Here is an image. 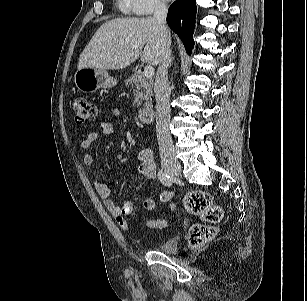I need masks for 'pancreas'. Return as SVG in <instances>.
<instances>
[{"mask_svg": "<svg viewBox=\"0 0 307 301\" xmlns=\"http://www.w3.org/2000/svg\"><path fill=\"white\" fill-rule=\"evenodd\" d=\"M125 85L134 88V99L132 101L134 105L139 107L143 101L151 103L153 95V79L151 77H146L142 72L136 71L128 77Z\"/></svg>", "mask_w": 307, "mask_h": 301, "instance_id": "obj_1", "label": "pancreas"}]
</instances>
